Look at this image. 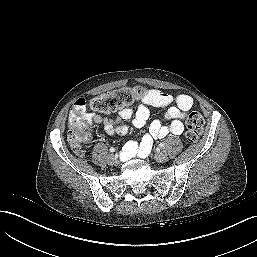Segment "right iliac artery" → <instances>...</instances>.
I'll return each mask as SVG.
<instances>
[{"instance_id":"right-iliac-artery-1","label":"right iliac artery","mask_w":257,"mask_h":257,"mask_svg":"<svg viewBox=\"0 0 257 257\" xmlns=\"http://www.w3.org/2000/svg\"><path fill=\"white\" fill-rule=\"evenodd\" d=\"M115 151V148H110V152H114ZM121 155H122V153H121ZM121 157V156H120Z\"/></svg>"}]
</instances>
